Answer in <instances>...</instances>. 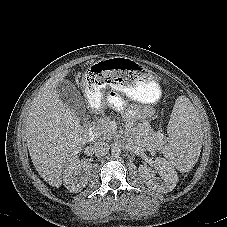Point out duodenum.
<instances>
[{
  "label": "duodenum",
  "mask_w": 227,
  "mask_h": 227,
  "mask_svg": "<svg viewBox=\"0 0 227 227\" xmlns=\"http://www.w3.org/2000/svg\"><path fill=\"white\" fill-rule=\"evenodd\" d=\"M86 137L88 142L92 143L96 139V128L94 124H90L86 130Z\"/></svg>",
  "instance_id": "410a0bca"
}]
</instances>
